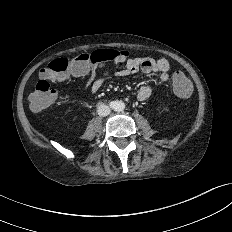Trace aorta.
<instances>
[{
    "mask_svg": "<svg viewBox=\"0 0 232 232\" xmlns=\"http://www.w3.org/2000/svg\"><path fill=\"white\" fill-rule=\"evenodd\" d=\"M113 109L115 111H118V112L123 111L125 109L124 102L121 101V100L120 101H115L114 104H113Z\"/></svg>",
    "mask_w": 232,
    "mask_h": 232,
    "instance_id": "aorta-1",
    "label": "aorta"
}]
</instances>
